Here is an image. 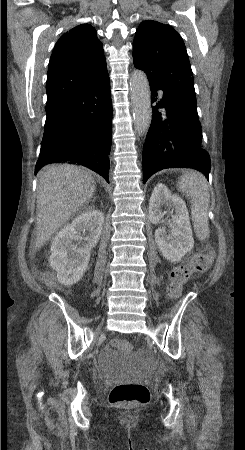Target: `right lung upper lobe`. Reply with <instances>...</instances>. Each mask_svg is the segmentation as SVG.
I'll list each match as a JSON object with an SVG mask.
<instances>
[{
    "label": "right lung upper lobe",
    "mask_w": 245,
    "mask_h": 450,
    "mask_svg": "<svg viewBox=\"0 0 245 450\" xmlns=\"http://www.w3.org/2000/svg\"><path fill=\"white\" fill-rule=\"evenodd\" d=\"M107 71L102 43L95 29L81 24L57 41L46 82L49 108Z\"/></svg>",
    "instance_id": "right-lung-upper-lobe-1"
}]
</instances>
